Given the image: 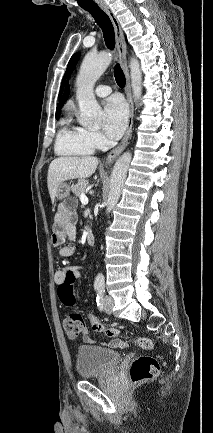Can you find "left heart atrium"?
I'll list each match as a JSON object with an SVG mask.
<instances>
[{
	"mask_svg": "<svg viewBox=\"0 0 213 433\" xmlns=\"http://www.w3.org/2000/svg\"><path fill=\"white\" fill-rule=\"evenodd\" d=\"M127 107L117 96L109 98L103 108V130L111 139H118L127 125Z\"/></svg>",
	"mask_w": 213,
	"mask_h": 433,
	"instance_id": "obj_1",
	"label": "left heart atrium"
}]
</instances>
